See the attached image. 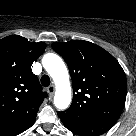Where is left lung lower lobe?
Listing matches in <instances>:
<instances>
[{
	"instance_id": "left-lung-lower-lobe-1",
	"label": "left lung lower lobe",
	"mask_w": 136,
	"mask_h": 136,
	"mask_svg": "<svg viewBox=\"0 0 136 136\" xmlns=\"http://www.w3.org/2000/svg\"><path fill=\"white\" fill-rule=\"evenodd\" d=\"M64 126L80 136H98L105 133L114 124L105 121L76 122L61 119Z\"/></svg>"
}]
</instances>
